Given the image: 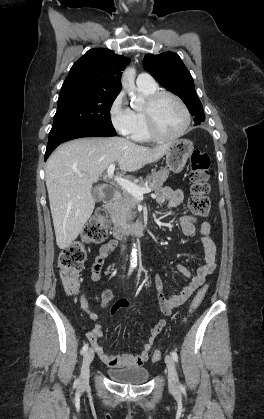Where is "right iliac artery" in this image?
<instances>
[{
	"instance_id": "1",
	"label": "right iliac artery",
	"mask_w": 264,
	"mask_h": 419,
	"mask_svg": "<svg viewBox=\"0 0 264 419\" xmlns=\"http://www.w3.org/2000/svg\"><path fill=\"white\" fill-rule=\"evenodd\" d=\"M131 272H132V268L129 269L128 275H130ZM88 347H89V345H88V343H86L81 350V354L84 355L87 352ZM76 384H79V379H77Z\"/></svg>"
}]
</instances>
